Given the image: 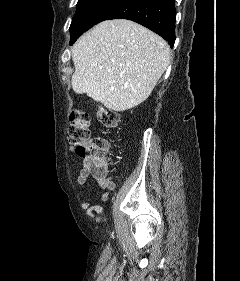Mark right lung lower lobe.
Returning <instances> with one entry per match:
<instances>
[{
	"label": "right lung lower lobe",
	"mask_w": 240,
	"mask_h": 281,
	"mask_svg": "<svg viewBox=\"0 0 240 281\" xmlns=\"http://www.w3.org/2000/svg\"><path fill=\"white\" fill-rule=\"evenodd\" d=\"M175 0H117L96 21L128 19L159 34L173 47L175 42Z\"/></svg>",
	"instance_id": "right-lung-lower-lobe-1"
}]
</instances>
